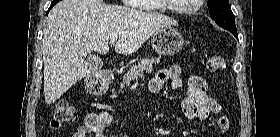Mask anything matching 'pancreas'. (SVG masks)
<instances>
[{
  "instance_id": "1",
  "label": "pancreas",
  "mask_w": 280,
  "mask_h": 137,
  "mask_svg": "<svg viewBox=\"0 0 280 137\" xmlns=\"http://www.w3.org/2000/svg\"><path fill=\"white\" fill-rule=\"evenodd\" d=\"M159 58H145L138 61L137 65L131 66L127 73L123 76V82L120 83V88L129 86L131 81H135L138 77H143L144 72L150 73L153 69V64H158Z\"/></svg>"
}]
</instances>
